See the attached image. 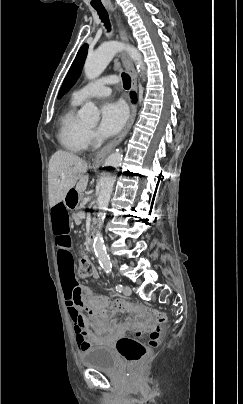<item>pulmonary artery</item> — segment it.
I'll return each instance as SVG.
<instances>
[{
    "mask_svg": "<svg viewBox=\"0 0 243 404\" xmlns=\"http://www.w3.org/2000/svg\"><path fill=\"white\" fill-rule=\"evenodd\" d=\"M101 51L100 53H103ZM108 59H104V63H107ZM120 82V79L115 75H105L100 78L89 81L76 89V94L82 100H86L91 97H103L107 96L111 92V86Z\"/></svg>",
    "mask_w": 243,
    "mask_h": 404,
    "instance_id": "pulmonary-artery-1",
    "label": "pulmonary artery"
}]
</instances>
